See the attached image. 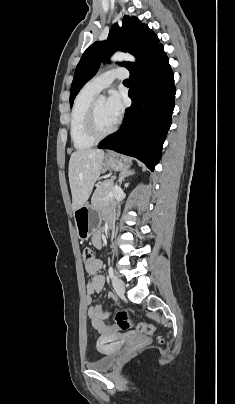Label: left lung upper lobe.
<instances>
[{
	"mask_svg": "<svg viewBox=\"0 0 235 404\" xmlns=\"http://www.w3.org/2000/svg\"><path fill=\"white\" fill-rule=\"evenodd\" d=\"M161 46L157 35L147 25L141 24L136 17L125 15L121 27L117 23L111 27L106 41L93 43L83 53L71 85L70 106L82 86L95 75L101 61H107L115 51H128L137 58L136 64L131 62L120 64L131 72L143 64Z\"/></svg>",
	"mask_w": 235,
	"mask_h": 404,
	"instance_id": "left-lung-upper-lobe-1",
	"label": "left lung upper lobe"
}]
</instances>
